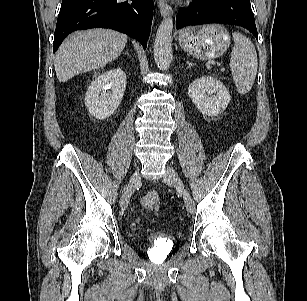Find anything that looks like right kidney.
Returning <instances> with one entry per match:
<instances>
[{
  "label": "right kidney",
  "mask_w": 307,
  "mask_h": 301,
  "mask_svg": "<svg viewBox=\"0 0 307 301\" xmlns=\"http://www.w3.org/2000/svg\"><path fill=\"white\" fill-rule=\"evenodd\" d=\"M106 88L111 92L101 93ZM125 88V72L121 68L108 70L91 82L85 95V106L95 118L105 119L119 107Z\"/></svg>",
  "instance_id": "ca27d5eb"
}]
</instances>
